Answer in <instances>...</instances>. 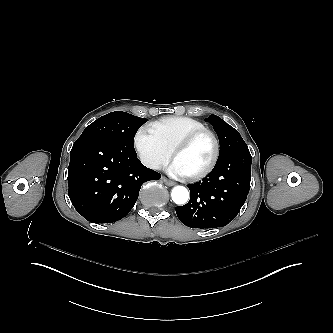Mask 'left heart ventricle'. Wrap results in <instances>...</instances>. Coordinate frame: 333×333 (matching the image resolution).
<instances>
[{
  "label": "left heart ventricle",
  "instance_id": "b2bd125f",
  "mask_svg": "<svg viewBox=\"0 0 333 333\" xmlns=\"http://www.w3.org/2000/svg\"><path fill=\"white\" fill-rule=\"evenodd\" d=\"M214 153V143L211 137L204 134L197 138L190 146L176 153L171 160L184 171L186 176L205 167Z\"/></svg>",
  "mask_w": 333,
  "mask_h": 333
}]
</instances>
